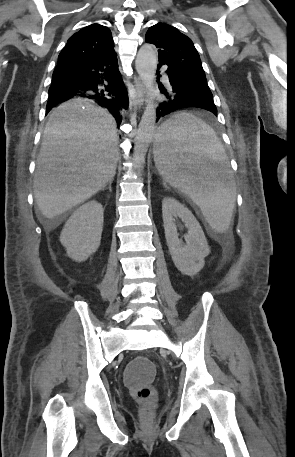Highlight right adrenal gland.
<instances>
[{
  "label": "right adrenal gland",
  "mask_w": 295,
  "mask_h": 457,
  "mask_svg": "<svg viewBox=\"0 0 295 457\" xmlns=\"http://www.w3.org/2000/svg\"><path fill=\"white\" fill-rule=\"evenodd\" d=\"M112 181H113V179H111V180L108 182V188H109V191H110V192H112V188H111ZM106 188H107V187L105 186V187H103L102 190H105Z\"/></svg>",
  "instance_id": "2a0ac1e0"
}]
</instances>
